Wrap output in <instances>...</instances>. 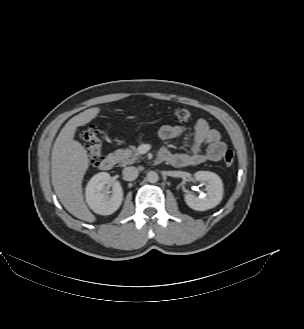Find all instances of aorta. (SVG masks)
<instances>
[{
    "label": "aorta",
    "instance_id": "obj_1",
    "mask_svg": "<svg viewBox=\"0 0 304 329\" xmlns=\"http://www.w3.org/2000/svg\"><path fill=\"white\" fill-rule=\"evenodd\" d=\"M147 180L150 183H156L159 180L158 173L155 171H149L147 173Z\"/></svg>",
    "mask_w": 304,
    "mask_h": 329
}]
</instances>
